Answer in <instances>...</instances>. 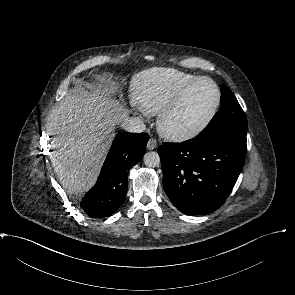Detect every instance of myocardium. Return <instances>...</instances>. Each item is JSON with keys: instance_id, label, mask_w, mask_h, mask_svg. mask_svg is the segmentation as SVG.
<instances>
[{"instance_id": "myocardium-1", "label": "myocardium", "mask_w": 295, "mask_h": 295, "mask_svg": "<svg viewBox=\"0 0 295 295\" xmlns=\"http://www.w3.org/2000/svg\"><path fill=\"white\" fill-rule=\"evenodd\" d=\"M201 81H208L210 82L216 90L217 98L215 105L209 114V116L206 118V120L197 126L196 128L187 131V132H172L167 127V120L170 117V115L179 107V105L182 103L185 96L193 89L195 85H197ZM222 102V93L219 85L210 77L207 76H199L189 82L187 85H185L174 97L173 99L159 112L157 125L160 133L167 139L173 141V142H187L190 141L199 135H201L203 132H205L209 126L213 123L215 120L220 106Z\"/></svg>"}]
</instances>
